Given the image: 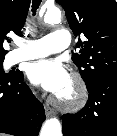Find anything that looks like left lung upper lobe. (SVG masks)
<instances>
[{"label":"left lung upper lobe","instance_id":"left-lung-upper-lobe-1","mask_svg":"<svg viewBox=\"0 0 117 136\" xmlns=\"http://www.w3.org/2000/svg\"><path fill=\"white\" fill-rule=\"evenodd\" d=\"M74 35H83L72 56L87 88L117 74V2L115 0H56Z\"/></svg>","mask_w":117,"mask_h":136}]
</instances>
